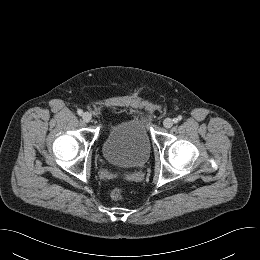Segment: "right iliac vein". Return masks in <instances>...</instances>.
<instances>
[{"label":"right iliac vein","instance_id":"obj_1","mask_svg":"<svg viewBox=\"0 0 260 260\" xmlns=\"http://www.w3.org/2000/svg\"><path fill=\"white\" fill-rule=\"evenodd\" d=\"M82 118L85 122H90L92 116L89 112H85V113H83Z\"/></svg>","mask_w":260,"mask_h":260}]
</instances>
